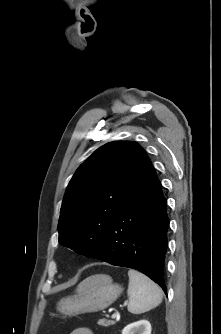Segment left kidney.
Returning <instances> with one entry per match:
<instances>
[{
  "mask_svg": "<svg viewBox=\"0 0 221 334\" xmlns=\"http://www.w3.org/2000/svg\"><path fill=\"white\" fill-rule=\"evenodd\" d=\"M122 334H151V324L147 320H140L127 325Z\"/></svg>",
  "mask_w": 221,
  "mask_h": 334,
  "instance_id": "1",
  "label": "left kidney"
}]
</instances>
